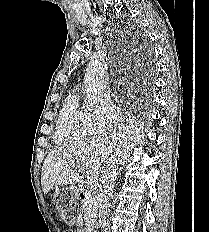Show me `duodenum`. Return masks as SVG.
Here are the masks:
<instances>
[{"label": "duodenum", "instance_id": "obj_1", "mask_svg": "<svg viewBox=\"0 0 209 232\" xmlns=\"http://www.w3.org/2000/svg\"><path fill=\"white\" fill-rule=\"evenodd\" d=\"M89 232H93V229H90Z\"/></svg>", "mask_w": 209, "mask_h": 232}]
</instances>
